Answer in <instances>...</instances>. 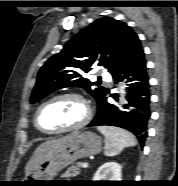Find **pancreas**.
I'll list each match as a JSON object with an SVG mask.
<instances>
[{
	"mask_svg": "<svg viewBox=\"0 0 178 186\" xmlns=\"http://www.w3.org/2000/svg\"><path fill=\"white\" fill-rule=\"evenodd\" d=\"M82 164H83L82 162H78L76 165L70 166L65 171V173L62 174L61 177H64V178L76 177L77 175L80 174Z\"/></svg>",
	"mask_w": 178,
	"mask_h": 186,
	"instance_id": "obj_1",
	"label": "pancreas"
}]
</instances>
